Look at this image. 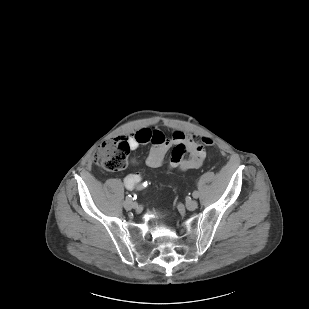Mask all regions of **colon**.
<instances>
[{
  "instance_id": "obj_1",
  "label": "colon",
  "mask_w": 309,
  "mask_h": 309,
  "mask_svg": "<svg viewBox=\"0 0 309 309\" xmlns=\"http://www.w3.org/2000/svg\"><path fill=\"white\" fill-rule=\"evenodd\" d=\"M202 142L206 146L213 145L210 138H203ZM130 148L128 140L124 138L107 141L97 149L94 155L95 162L106 171H121L128 164Z\"/></svg>"
}]
</instances>
